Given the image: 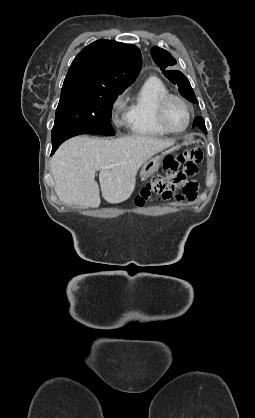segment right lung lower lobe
<instances>
[{
    "mask_svg": "<svg viewBox=\"0 0 255 418\" xmlns=\"http://www.w3.org/2000/svg\"><path fill=\"white\" fill-rule=\"evenodd\" d=\"M80 134H83V133H71V134L62 135L60 137L52 139V153H51V155H53V153L57 150L59 145L61 143H63L65 140H67V139H69L73 136L80 135Z\"/></svg>",
    "mask_w": 255,
    "mask_h": 418,
    "instance_id": "1",
    "label": "right lung lower lobe"
}]
</instances>
